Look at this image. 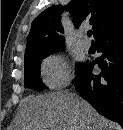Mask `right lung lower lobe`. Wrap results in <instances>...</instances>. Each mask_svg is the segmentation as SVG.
Masks as SVG:
<instances>
[{
  "mask_svg": "<svg viewBox=\"0 0 123 130\" xmlns=\"http://www.w3.org/2000/svg\"><path fill=\"white\" fill-rule=\"evenodd\" d=\"M96 44L103 54L84 63L72 83L100 114L123 127V24L98 36ZM95 65L98 75L92 74Z\"/></svg>",
  "mask_w": 123,
  "mask_h": 130,
  "instance_id": "1",
  "label": "right lung lower lobe"
}]
</instances>
